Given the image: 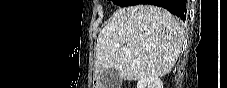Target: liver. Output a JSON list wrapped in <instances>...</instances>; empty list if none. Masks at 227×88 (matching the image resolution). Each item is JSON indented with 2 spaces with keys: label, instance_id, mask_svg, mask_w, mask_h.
Instances as JSON below:
<instances>
[{
  "label": "liver",
  "instance_id": "6515ba94",
  "mask_svg": "<svg viewBox=\"0 0 227 88\" xmlns=\"http://www.w3.org/2000/svg\"><path fill=\"white\" fill-rule=\"evenodd\" d=\"M183 34L181 24L161 7L120 8L97 38L95 73L113 68L128 81L162 77L179 57Z\"/></svg>",
  "mask_w": 227,
  "mask_h": 88
}]
</instances>
